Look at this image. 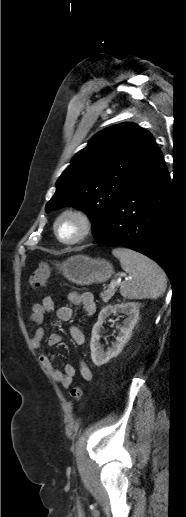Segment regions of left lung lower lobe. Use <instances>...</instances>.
Masks as SVG:
<instances>
[{
  "instance_id": "obj_1",
  "label": "left lung lower lobe",
  "mask_w": 186,
  "mask_h": 517,
  "mask_svg": "<svg viewBox=\"0 0 186 517\" xmlns=\"http://www.w3.org/2000/svg\"><path fill=\"white\" fill-rule=\"evenodd\" d=\"M170 175L161 151L111 210L94 243L119 245L156 261L169 279Z\"/></svg>"
}]
</instances>
